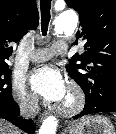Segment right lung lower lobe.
<instances>
[{"mask_svg":"<svg viewBox=\"0 0 116 134\" xmlns=\"http://www.w3.org/2000/svg\"><path fill=\"white\" fill-rule=\"evenodd\" d=\"M19 113V106L16 102L0 106V118L10 121L28 134H33L35 130L34 122L32 120L23 119Z\"/></svg>","mask_w":116,"mask_h":134,"instance_id":"1","label":"right lung lower lobe"}]
</instances>
